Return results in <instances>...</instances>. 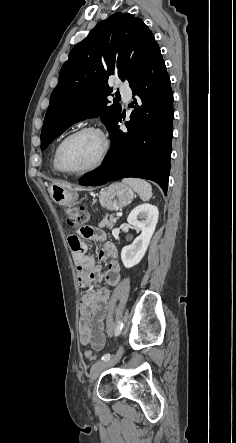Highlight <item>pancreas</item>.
Here are the masks:
<instances>
[{
    "instance_id": "cf45deb5",
    "label": "pancreas",
    "mask_w": 236,
    "mask_h": 443,
    "mask_svg": "<svg viewBox=\"0 0 236 443\" xmlns=\"http://www.w3.org/2000/svg\"><path fill=\"white\" fill-rule=\"evenodd\" d=\"M118 217H114V216H109V218L107 216H105L103 218V220L99 223V226L104 228H108V229H113L116 221H117Z\"/></svg>"
}]
</instances>
